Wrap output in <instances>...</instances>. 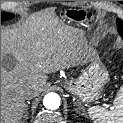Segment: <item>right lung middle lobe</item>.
Wrapping results in <instances>:
<instances>
[{
    "instance_id": "obj_1",
    "label": "right lung middle lobe",
    "mask_w": 123,
    "mask_h": 123,
    "mask_svg": "<svg viewBox=\"0 0 123 123\" xmlns=\"http://www.w3.org/2000/svg\"><path fill=\"white\" fill-rule=\"evenodd\" d=\"M14 15L7 12H1V22L13 18Z\"/></svg>"
}]
</instances>
